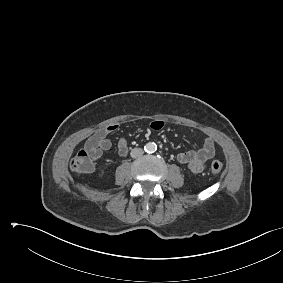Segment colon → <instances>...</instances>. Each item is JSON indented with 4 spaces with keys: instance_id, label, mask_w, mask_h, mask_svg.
Wrapping results in <instances>:
<instances>
[{
    "instance_id": "colon-1",
    "label": "colon",
    "mask_w": 283,
    "mask_h": 283,
    "mask_svg": "<svg viewBox=\"0 0 283 283\" xmlns=\"http://www.w3.org/2000/svg\"><path fill=\"white\" fill-rule=\"evenodd\" d=\"M70 168L77 173H88L93 170V161L90 152L87 149L80 150L71 160ZM221 162L214 160L210 165L212 173L218 174L222 171Z\"/></svg>"
}]
</instances>
